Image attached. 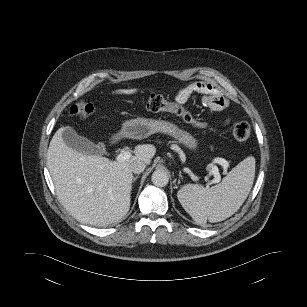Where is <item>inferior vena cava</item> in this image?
I'll return each mask as SVG.
<instances>
[{
    "mask_svg": "<svg viewBox=\"0 0 307 307\" xmlns=\"http://www.w3.org/2000/svg\"><path fill=\"white\" fill-rule=\"evenodd\" d=\"M145 167H146V163L144 161L137 160V161H134L133 163H131L130 170H131V172H133L135 174H139V173L144 171Z\"/></svg>",
    "mask_w": 307,
    "mask_h": 307,
    "instance_id": "1",
    "label": "inferior vena cava"
}]
</instances>
